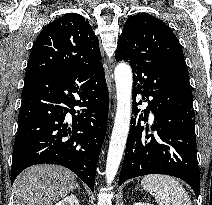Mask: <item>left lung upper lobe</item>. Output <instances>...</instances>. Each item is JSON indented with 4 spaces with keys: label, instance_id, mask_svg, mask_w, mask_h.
<instances>
[{
    "label": "left lung upper lobe",
    "instance_id": "obj_1",
    "mask_svg": "<svg viewBox=\"0 0 212 205\" xmlns=\"http://www.w3.org/2000/svg\"><path fill=\"white\" fill-rule=\"evenodd\" d=\"M115 56L117 61L124 60L131 67L142 60H165L186 67L182 48L170 27L145 13L126 21Z\"/></svg>",
    "mask_w": 212,
    "mask_h": 205
}]
</instances>
